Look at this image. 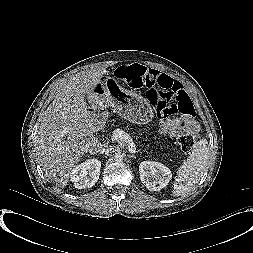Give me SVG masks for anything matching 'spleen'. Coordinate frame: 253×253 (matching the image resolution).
<instances>
[{
  "instance_id": "3e777b00",
  "label": "spleen",
  "mask_w": 253,
  "mask_h": 253,
  "mask_svg": "<svg viewBox=\"0 0 253 253\" xmlns=\"http://www.w3.org/2000/svg\"><path fill=\"white\" fill-rule=\"evenodd\" d=\"M209 147L206 139L193 145L190 156L177 171L172 195H186L201 179L208 164Z\"/></svg>"
}]
</instances>
